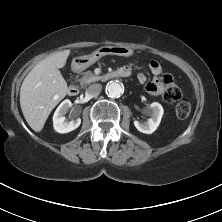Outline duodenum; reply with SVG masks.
<instances>
[{
	"label": "duodenum",
	"mask_w": 222,
	"mask_h": 222,
	"mask_svg": "<svg viewBox=\"0 0 222 222\" xmlns=\"http://www.w3.org/2000/svg\"><path fill=\"white\" fill-rule=\"evenodd\" d=\"M79 68L77 66L74 67V71L78 72ZM130 74L129 69L127 68H120L118 70L113 71L112 73L108 74L109 78H123L127 77ZM68 93L71 96H76L79 93V88L76 85H70L68 88Z\"/></svg>",
	"instance_id": "duodenum-1"
}]
</instances>
